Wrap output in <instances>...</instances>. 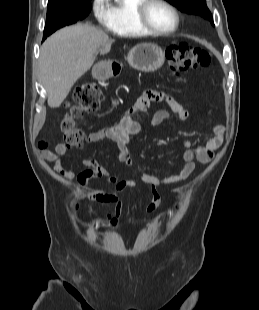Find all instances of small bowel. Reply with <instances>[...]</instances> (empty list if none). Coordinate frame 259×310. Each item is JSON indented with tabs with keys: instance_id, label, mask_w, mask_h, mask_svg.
<instances>
[{
	"instance_id": "1",
	"label": "small bowel",
	"mask_w": 259,
	"mask_h": 310,
	"mask_svg": "<svg viewBox=\"0 0 259 310\" xmlns=\"http://www.w3.org/2000/svg\"><path fill=\"white\" fill-rule=\"evenodd\" d=\"M152 102H165L180 120H186L189 117V111L168 94L148 92L142 95L131 108L121 113L113 125L89 133L84 147L99 142H110L118 154V162L130 166L131 157L127 150V144L142 131V126L135 120V117L146 113ZM168 119L169 112L160 110L155 113L151 123L153 126H159ZM213 132V136L208 137L199 148L191 149L190 141L183 142V147L186 149L183 155L184 165L178 173L157 176L143 172L139 175V180L150 186L152 191V201L147 207V212L155 211L160 205L159 187L177 184L186 180L195 170V161L205 164L212 160L215 152L223 143L224 128L221 125H216ZM70 150L71 148L63 143L56 144L53 149H50L48 142L45 141L40 142L38 145L39 157L53 163L54 169L59 175L68 179L76 178L79 186L86 190L92 199L113 206V212L105 216L102 224L108 229H113L123 212L120 194L125 189L134 187L137 180L134 178L120 179L118 172L110 174L103 164L93 158L85 159L82 162L80 171H78L77 166H65L63 159L69 155ZM93 178H106L110 184L114 185L115 191L106 193L90 189L89 180Z\"/></svg>"
}]
</instances>
